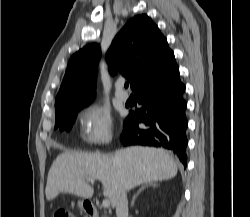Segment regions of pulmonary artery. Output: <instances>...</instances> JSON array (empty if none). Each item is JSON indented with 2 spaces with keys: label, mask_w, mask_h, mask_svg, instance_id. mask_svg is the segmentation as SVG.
<instances>
[{
  "label": "pulmonary artery",
  "mask_w": 250,
  "mask_h": 217,
  "mask_svg": "<svg viewBox=\"0 0 250 217\" xmlns=\"http://www.w3.org/2000/svg\"><path fill=\"white\" fill-rule=\"evenodd\" d=\"M114 94H115L116 99H118L121 102H126L129 98L128 93L123 90L122 82H118L116 84Z\"/></svg>",
  "instance_id": "pulmonary-artery-1"
}]
</instances>
